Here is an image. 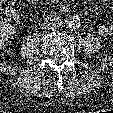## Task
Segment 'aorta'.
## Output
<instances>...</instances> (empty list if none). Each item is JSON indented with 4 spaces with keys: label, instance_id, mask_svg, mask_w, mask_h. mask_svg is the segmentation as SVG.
<instances>
[{
    "label": "aorta",
    "instance_id": "obj_1",
    "mask_svg": "<svg viewBox=\"0 0 113 113\" xmlns=\"http://www.w3.org/2000/svg\"><path fill=\"white\" fill-rule=\"evenodd\" d=\"M66 23L70 29H75L79 26V20L75 16L69 17Z\"/></svg>",
    "mask_w": 113,
    "mask_h": 113
}]
</instances>
